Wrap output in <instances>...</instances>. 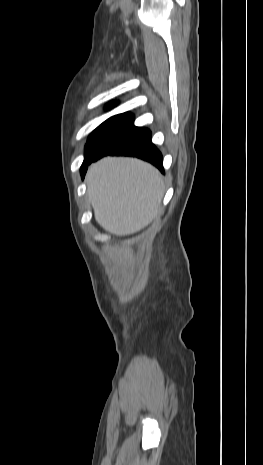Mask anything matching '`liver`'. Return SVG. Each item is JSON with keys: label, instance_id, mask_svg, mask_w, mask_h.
Here are the masks:
<instances>
[{"label": "liver", "instance_id": "1", "mask_svg": "<svg viewBox=\"0 0 263 465\" xmlns=\"http://www.w3.org/2000/svg\"><path fill=\"white\" fill-rule=\"evenodd\" d=\"M86 182L96 221L116 236L134 234L151 223L165 191L155 167L129 157H106L94 163Z\"/></svg>", "mask_w": 263, "mask_h": 465}]
</instances>
